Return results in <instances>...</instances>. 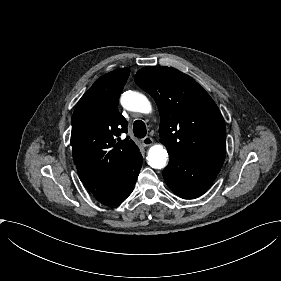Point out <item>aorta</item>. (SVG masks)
Returning <instances> with one entry per match:
<instances>
[{
    "label": "aorta",
    "instance_id": "aorta-1",
    "mask_svg": "<svg viewBox=\"0 0 281 281\" xmlns=\"http://www.w3.org/2000/svg\"><path fill=\"white\" fill-rule=\"evenodd\" d=\"M121 105L133 112L148 114L152 106L147 97L136 91H126L120 98ZM168 153L162 144H155L149 148L147 161L154 169H163L167 165Z\"/></svg>",
    "mask_w": 281,
    "mask_h": 281
}]
</instances>
